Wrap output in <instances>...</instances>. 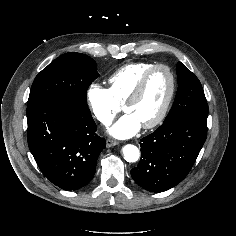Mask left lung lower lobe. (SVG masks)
Segmentation results:
<instances>
[{
  "instance_id": "obj_1",
  "label": "left lung lower lobe",
  "mask_w": 236,
  "mask_h": 236,
  "mask_svg": "<svg viewBox=\"0 0 236 236\" xmlns=\"http://www.w3.org/2000/svg\"><path fill=\"white\" fill-rule=\"evenodd\" d=\"M207 137V119L178 117L141 139V159L131 170L134 181L159 193L180 183L190 172Z\"/></svg>"
}]
</instances>
